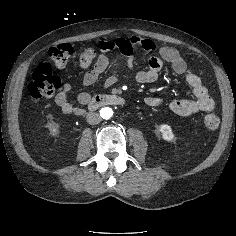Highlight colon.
Here are the masks:
<instances>
[{
  "label": "colon",
  "mask_w": 236,
  "mask_h": 236,
  "mask_svg": "<svg viewBox=\"0 0 236 236\" xmlns=\"http://www.w3.org/2000/svg\"><path fill=\"white\" fill-rule=\"evenodd\" d=\"M51 61L58 67H64L73 54V48L69 44H60L49 49ZM95 53L92 49H83L78 53L77 62L81 69L87 68L93 61ZM61 81L52 72L48 63L38 65L33 72L32 80L29 84V93L33 98H47L54 95L60 88ZM203 122L209 129L219 126L220 119L214 113L204 116Z\"/></svg>",
  "instance_id": "obj_1"
}]
</instances>
